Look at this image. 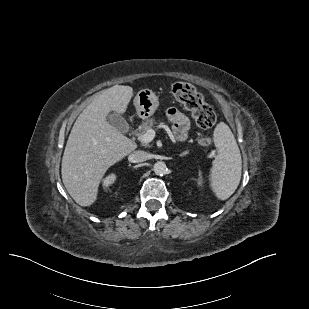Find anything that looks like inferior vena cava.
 <instances>
[{"instance_id": "602c4592", "label": "inferior vena cava", "mask_w": 309, "mask_h": 309, "mask_svg": "<svg viewBox=\"0 0 309 309\" xmlns=\"http://www.w3.org/2000/svg\"><path fill=\"white\" fill-rule=\"evenodd\" d=\"M149 159V154L145 151L137 150L130 155V161L134 163L144 162Z\"/></svg>"}]
</instances>
